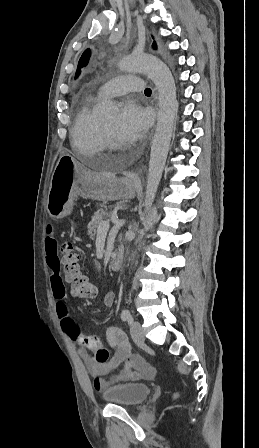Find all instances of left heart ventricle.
Returning <instances> with one entry per match:
<instances>
[{
	"label": "left heart ventricle",
	"instance_id": "b2bd125f",
	"mask_svg": "<svg viewBox=\"0 0 259 448\" xmlns=\"http://www.w3.org/2000/svg\"><path fill=\"white\" fill-rule=\"evenodd\" d=\"M116 121H117V116H114V117L104 119L101 122L109 130L114 142L120 146L122 144L124 138L122 137V135L118 132V130L116 128Z\"/></svg>",
	"mask_w": 259,
	"mask_h": 448
}]
</instances>
